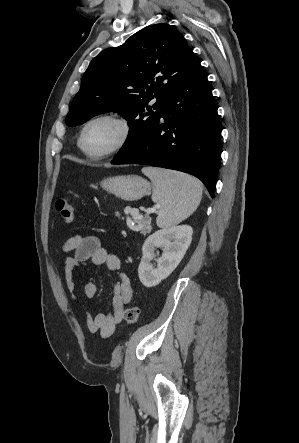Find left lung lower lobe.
Listing matches in <instances>:
<instances>
[{
	"mask_svg": "<svg viewBox=\"0 0 299 443\" xmlns=\"http://www.w3.org/2000/svg\"><path fill=\"white\" fill-rule=\"evenodd\" d=\"M221 128L200 63L168 94L154 124L112 164H143L191 174L211 197L220 160Z\"/></svg>",
	"mask_w": 299,
	"mask_h": 443,
	"instance_id": "0a47b994",
	"label": "left lung lower lobe"
}]
</instances>
